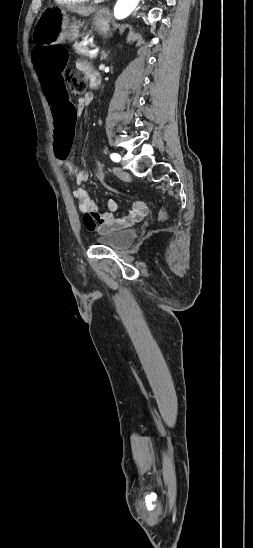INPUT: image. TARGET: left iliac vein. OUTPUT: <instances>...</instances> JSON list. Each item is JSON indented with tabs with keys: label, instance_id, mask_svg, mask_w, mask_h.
Wrapping results in <instances>:
<instances>
[{
	"label": "left iliac vein",
	"instance_id": "left-iliac-vein-1",
	"mask_svg": "<svg viewBox=\"0 0 253 548\" xmlns=\"http://www.w3.org/2000/svg\"><path fill=\"white\" fill-rule=\"evenodd\" d=\"M114 171L116 175L122 180H127L129 178V174L125 171H122L120 168H115Z\"/></svg>",
	"mask_w": 253,
	"mask_h": 548
}]
</instances>
